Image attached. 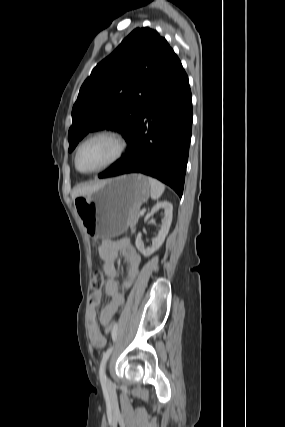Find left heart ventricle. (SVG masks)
I'll use <instances>...</instances> for the list:
<instances>
[{
	"label": "left heart ventricle",
	"mask_w": 285,
	"mask_h": 427,
	"mask_svg": "<svg viewBox=\"0 0 285 427\" xmlns=\"http://www.w3.org/2000/svg\"><path fill=\"white\" fill-rule=\"evenodd\" d=\"M118 149L110 137H98L86 143L80 150L78 164L81 170L91 171L109 162Z\"/></svg>",
	"instance_id": "obj_1"
}]
</instances>
